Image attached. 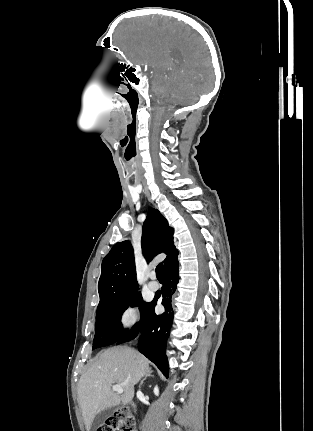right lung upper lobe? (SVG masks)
Listing matches in <instances>:
<instances>
[{
  "label": "right lung upper lobe",
  "mask_w": 313,
  "mask_h": 431,
  "mask_svg": "<svg viewBox=\"0 0 313 431\" xmlns=\"http://www.w3.org/2000/svg\"><path fill=\"white\" fill-rule=\"evenodd\" d=\"M174 230L157 210L149 211L143 224L141 247L150 261L156 254H167L165 268L178 255L173 242ZM138 289L133 247L128 240L116 243L102 261L98 283L100 302L127 295ZM99 302V303H100Z\"/></svg>",
  "instance_id": "obj_1"
}]
</instances>
